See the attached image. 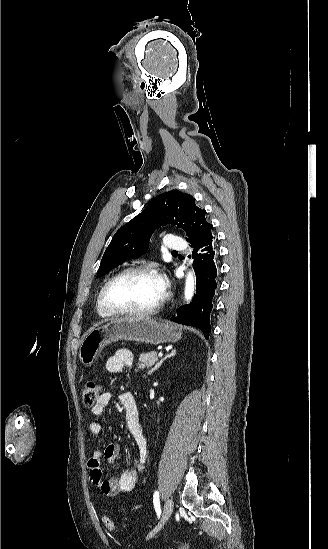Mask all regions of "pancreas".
<instances>
[{
    "label": "pancreas",
    "mask_w": 328,
    "mask_h": 549,
    "mask_svg": "<svg viewBox=\"0 0 328 549\" xmlns=\"http://www.w3.org/2000/svg\"><path fill=\"white\" fill-rule=\"evenodd\" d=\"M158 357L156 351H151V353H147V355H141L139 357V363H137V369H150L152 365H155L157 363ZM153 371V369H151Z\"/></svg>",
    "instance_id": "obj_1"
}]
</instances>
